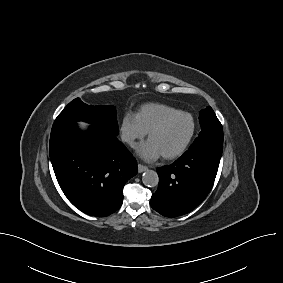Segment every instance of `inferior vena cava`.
I'll return each instance as SVG.
<instances>
[{"label":"inferior vena cava","instance_id":"602c4592","mask_svg":"<svg viewBox=\"0 0 283 283\" xmlns=\"http://www.w3.org/2000/svg\"><path fill=\"white\" fill-rule=\"evenodd\" d=\"M121 138H122V140H123L124 142H127V143H132V141H133V137H132L131 135H129V134L123 133V134L121 135Z\"/></svg>","mask_w":283,"mask_h":283}]
</instances>
